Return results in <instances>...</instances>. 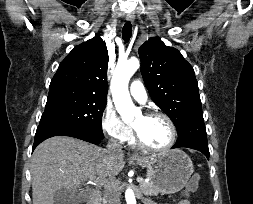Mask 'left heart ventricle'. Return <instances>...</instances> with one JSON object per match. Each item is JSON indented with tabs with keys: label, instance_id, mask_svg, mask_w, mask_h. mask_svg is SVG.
<instances>
[{
	"label": "left heart ventricle",
	"instance_id": "1",
	"mask_svg": "<svg viewBox=\"0 0 253 204\" xmlns=\"http://www.w3.org/2000/svg\"><path fill=\"white\" fill-rule=\"evenodd\" d=\"M132 125L138 131L143 141L151 147H163L170 140V128L163 118H148L141 114Z\"/></svg>",
	"mask_w": 253,
	"mask_h": 204
}]
</instances>
